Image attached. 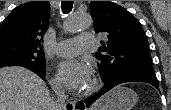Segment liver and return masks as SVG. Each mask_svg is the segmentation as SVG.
Here are the masks:
<instances>
[{"instance_id": "6515ba94", "label": "liver", "mask_w": 171, "mask_h": 110, "mask_svg": "<svg viewBox=\"0 0 171 110\" xmlns=\"http://www.w3.org/2000/svg\"><path fill=\"white\" fill-rule=\"evenodd\" d=\"M45 82L34 72L23 67L0 69V110H53ZM102 99L91 110H98Z\"/></svg>"}]
</instances>
